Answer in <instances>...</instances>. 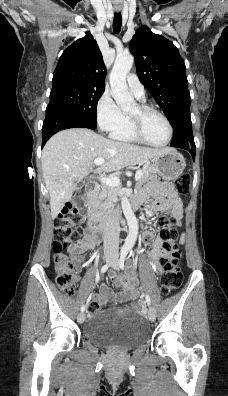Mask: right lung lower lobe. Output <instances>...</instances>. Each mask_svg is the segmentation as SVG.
Masks as SVG:
<instances>
[{"label": "right lung lower lobe", "mask_w": 228, "mask_h": 396, "mask_svg": "<svg viewBox=\"0 0 228 396\" xmlns=\"http://www.w3.org/2000/svg\"><path fill=\"white\" fill-rule=\"evenodd\" d=\"M77 127L95 129L96 123L61 108L46 109L42 127V147L58 131Z\"/></svg>", "instance_id": "obj_1"}]
</instances>
